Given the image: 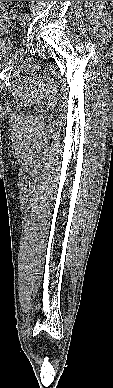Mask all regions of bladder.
I'll return each mask as SVG.
<instances>
[{
  "label": "bladder",
  "instance_id": "obj_1",
  "mask_svg": "<svg viewBox=\"0 0 113 388\" xmlns=\"http://www.w3.org/2000/svg\"><path fill=\"white\" fill-rule=\"evenodd\" d=\"M9 27L7 16L1 15L0 31L6 30ZM13 52V44L10 41L0 40V60L8 58Z\"/></svg>",
  "mask_w": 113,
  "mask_h": 388
}]
</instances>
